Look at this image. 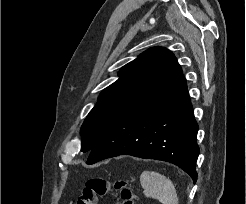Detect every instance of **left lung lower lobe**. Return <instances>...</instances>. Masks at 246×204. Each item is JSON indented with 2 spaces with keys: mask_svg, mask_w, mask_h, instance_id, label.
I'll list each match as a JSON object with an SVG mask.
<instances>
[{
  "mask_svg": "<svg viewBox=\"0 0 246 204\" xmlns=\"http://www.w3.org/2000/svg\"><path fill=\"white\" fill-rule=\"evenodd\" d=\"M198 124L182 73L116 121L90 150L87 164L119 155L173 163L197 181Z\"/></svg>",
  "mask_w": 246,
  "mask_h": 204,
  "instance_id": "left-lung-lower-lobe-1",
  "label": "left lung lower lobe"
}]
</instances>
